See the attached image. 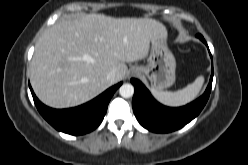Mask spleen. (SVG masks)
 <instances>
[{
    "instance_id": "spleen-1",
    "label": "spleen",
    "mask_w": 248,
    "mask_h": 165,
    "mask_svg": "<svg viewBox=\"0 0 248 165\" xmlns=\"http://www.w3.org/2000/svg\"><path fill=\"white\" fill-rule=\"evenodd\" d=\"M204 83V77L199 76L192 84L176 92L159 91L151 89L153 96L161 103L168 106H182L196 98Z\"/></svg>"
}]
</instances>
